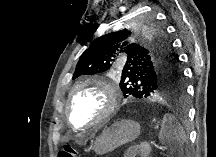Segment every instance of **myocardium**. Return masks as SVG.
I'll list each match as a JSON object with an SVG mask.
<instances>
[{
  "instance_id": "1",
  "label": "myocardium",
  "mask_w": 216,
  "mask_h": 157,
  "mask_svg": "<svg viewBox=\"0 0 216 157\" xmlns=\"http://www.w3.org/2000/svg\"><path fill=\"white\" fill-rule=\"evenodd\" d=\"M84 88H94L98 90L103 94L106 102H105V106L102 108V110L94 120L84 125H76L72 119L70 109L76 92ZM119 104H120V94L110 82H106L95 78L83 80L77 83L76 85H74L68 94L66 110H67V115L69 117V123L72 127L76 129H87V128L94 127L108 120L115 113Z\"/></svg>"
}]
</instances>
